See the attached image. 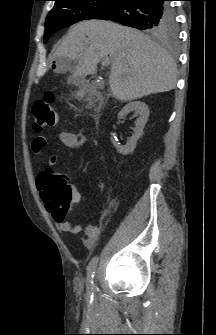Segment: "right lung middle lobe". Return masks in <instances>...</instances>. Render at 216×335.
<instances>
[{
    "label": "right lung middle lobe",
    "instance_id": "dd1d6c3e",
    "mask_svg": "<svg viewBox=\"0 0 216 335\" xmlns=\"http://www.w3.org/2000/svg\"><path fill=\"white\" fill-rule=\"evenodd\" d=\"M55 6L45 21L44 43L56 31L82 20L94 19L117 0H55ZM156 37L173 40L177 37V25H168Z\"/></svg>",
    "mask_w": 216,
    "mask_h": 335
}]
</instances>
